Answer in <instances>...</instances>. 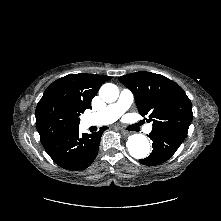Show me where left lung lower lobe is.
Wrapping results in <instances>:
<instances>
[{"label": "left lung lower lobe", "instance_id": "obj_1", "mask_svg": "<svg viewBox=\"0 0 221 221\" xmlns=\"http://www.w3.org/2000/svg\"><path fill=\"white\" fill-rule=\"evenodd\" d=\"M153 141L152 153L139 162L143 165L155 166L159 165L173 156L176 150L183 142V138L162 130H153L148 135Z\"/></svg>", "mask_w": 221, "mask_h": 221}]
</instances>
